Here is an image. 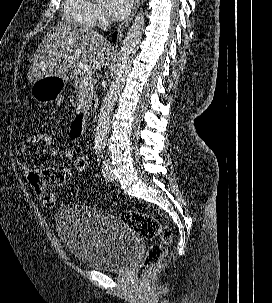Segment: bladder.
Here are the masks:
<instances>
[{
  "label": "bladder",
  "mask_w": 272,
  "mask_h": 303,
  "mask_svg": "<svg viewBox=\"0 0 272 303\" xmlns=\"http://www.w3.org/2000/svg\"><path fill=\"white\" fill-rule=\"evenodd\" d=\"M57 232L81 264L102 271L125 269L136 256V232L111 213L78 203L61 206Z\"/></svg>",
  "instance_id": "1"
}]
</instances>
